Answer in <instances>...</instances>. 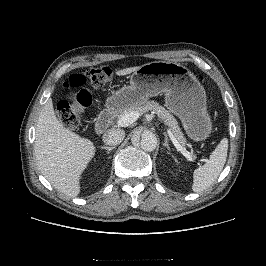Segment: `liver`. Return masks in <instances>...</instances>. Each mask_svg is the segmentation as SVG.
Wrapping results in <instances>:
<instances>
[{"mask_svg": "<svg viewBox=\"0 0 266 266\" xmlns=\"http://www.w3.org/2000/svg\"><path fill=\"white\" fill-rule=\"evenodd\" d=\"M138 68H125L116 74L127 75ZM95 150L93 142L63 126L55 115L52 100L48 99L38 117L34 154L39 170L50 184L67 197H77L81 175Z\"/></svg>", "mask_w": 266, "mask_h": 266, "instance_id": "6515ba94", "label": "liver"}]
</instances>
